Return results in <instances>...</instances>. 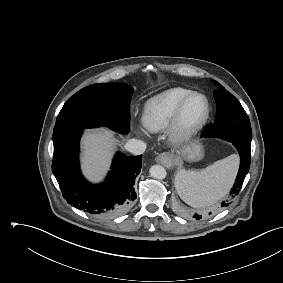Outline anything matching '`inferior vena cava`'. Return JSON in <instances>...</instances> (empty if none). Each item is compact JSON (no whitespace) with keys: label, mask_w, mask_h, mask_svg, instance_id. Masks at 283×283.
<instances>
[{"label":"inferior vena cava","mask_w":283,"mask_h":283,"mask_svg":"<svg viewBox=\"0 0 283 283\" xmlns=\"http://www.w3.org/2000/svg\"><path fill=\"white\" fill-rule=\"evenodd\" d=\"M125 149L135 155L143 154L146 150V144L137 139H130L125 144Z\"/></svg>","instance_id":"obj_1"}]
</instances>
